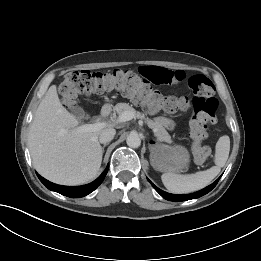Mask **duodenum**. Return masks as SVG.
<instances>
[{
  "mask_svg": "<svg viewBox=\"0 0 261 261\" xmlns=\"http://www.w3.org/2000/svg\"><path fill=\"white\" fill-rule=\"evenodd\" d=\"M111 112V108L109 105H105L101 109V116L102 117H107Z\"/></svg>",
  "mask_w": 261,
  "mask_h": 261,
  "instance_id": "obj_1",
  "label": "duodenum"
}]
</instances>
